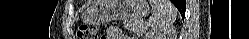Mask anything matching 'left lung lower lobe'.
I'll return each instance as SVG.
<instances>
[{
	"label": "left lung lower lobe",
	"mask_w": 249,
	"mask_h": 39,
	"mask_svg": "<svg viewBox=\"0 0 249 39\" xmlns=\"http://www.w3.org/2000/svg\"><path fill=\"white\" fill-rule=\"evenodd\" d=\"M179 12L181 13L182 17L184 18L185 10H186V1L185 0H171Z\"/></svg>",
	"instance_id": "obj_1"
}]
</instances>
